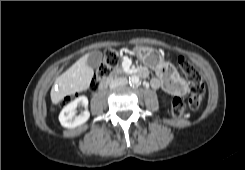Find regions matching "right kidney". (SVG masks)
Returning a JSON list of instances; mask_svg holds the SVG:
<instances>
[{
    "instance_id": "right-kidney-1",
    "label": "right kidney",
    "mask_w": 245,
    "mask_h": 170,
    "mask_svg": "<svg viewBox=\"0 0 245 170\" xmlns=\"http://www.w3.org/2000/svg\"><path fill=\"white\" fill-rule=\"evenodd\" d=\"M77 107H84L85 110L76 115ZM88 99L86 96H80L66 105L59 114V121L63 127L75 128L84 124L90 117L87 110Z\"/></svg>"
}]
</instances>
